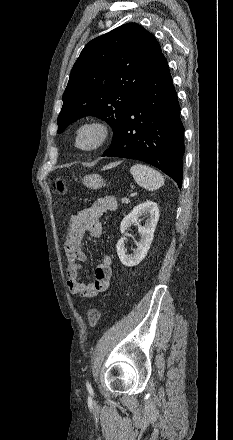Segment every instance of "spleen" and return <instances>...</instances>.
Segmentation results:
<instances>
[{"mask_svg": "<svg viewBox=\"0 0 233 440\" xmlns=\"http://www.w3.org/2000/svg\"><path fill=\"white\" fill-rule=\"evenodd\" d=\"M130 173L139 186L149 191L156 190L164 184V177L161 173L145 164L133 165Z\"/></svg>", "mask_w": 233, "mask_h": 440, "instance_id": "1", "label": "spleen"}]
</instances>
